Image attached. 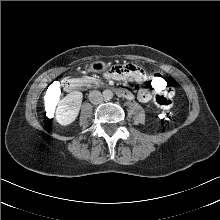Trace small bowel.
Returning <instances> with one entry per match:
<instances>
[{"mask_svg":"<svg viewBox=\"0 0 220 220\" xmlns=\"http://www.w3.org/2000/svg\"><path fill=\"white\" fill-rule=\"evenodd\" d=\"M129 73V75H127ZM105 78L107 80H125V79H133L138 83H146L148 78L143 70L140 69L139 64L137 62H123L118 65L108 66L105 71ZM129 92V91H128ZM175 94L173 87L168 85V88L160 93H155L154 101L156 96H164L169 99H172ZM134 96L131 92H129V96L127 99H133ZM137 99L140 102L146 103L152 99V95L150 93L149 88H142L139 90L137 94Z\"/></svg>","mask_w":220,"mask_h":220,"instance_id":"1","label":"small bowel"}]
</instances>
